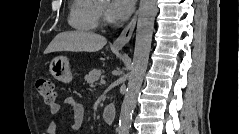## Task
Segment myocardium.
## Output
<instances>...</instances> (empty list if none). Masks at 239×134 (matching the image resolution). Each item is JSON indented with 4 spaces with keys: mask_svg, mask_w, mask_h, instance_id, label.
<instances>
[{
    "mask_svg": "<svg viewBox=\"0 0 239 134\" xmlns=\"http://www.w3.org/2000/svg\"><path fill=\"white\" fill-rule=\"evenodd\" d=\"M97 9H98L99 18L105 21V12H104V9L99 5V3L97 6Z\"/></svg>",
    "mask_w": 239,
    "mask_h": 134,
    "instance_id": "obj_1",
    "label": "myocardium"
}]
</instances>
